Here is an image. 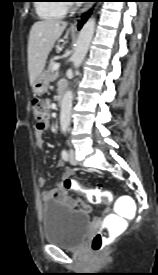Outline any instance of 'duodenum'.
<instances>
[{
    "mask_svg": "<svg viewBox=\"0 0 158 275\" xmlns=\"http://www.w3.org/2000/svg\"><path fill=\"white\" fill-rule=\"evenodd\" d=\"M66 94V87H62L59 89V93H58V100H59V104L61 105L64 101V97Z\"/></svg>",
    "mask_w": 158,
    "mask_h": 275,
    "instance_id": "410a0bca",
    "label": "duodenum"
}]
</instances>
